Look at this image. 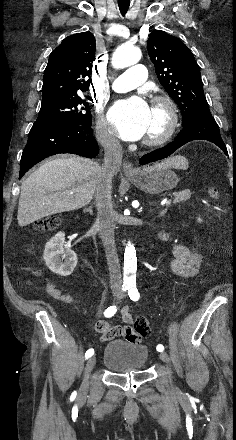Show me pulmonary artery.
Masks as SVG:
<instances>
[{
    "instance_id": "e3ab8cb5",
    "label": "pulmonary artery",
    "mask_w": 236,
    "mask_h": 440,
    "mask_svg": "<svg viewBox=\"0 0 236 440\" xmlns=\"http://www.w3.org/2000/svg\"><path fill=\"white\" fill-rule=\"evenodd\" d=\"M146 67L136 64L120 74L112 84V89L117 93H126L141 86L146 79Z\"/></svg>"
}]
</instances>
